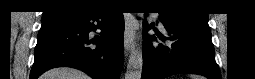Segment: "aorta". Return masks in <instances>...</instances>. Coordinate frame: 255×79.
Returning a JSON list of instances; mask_svg holds the SVG:
<instances>
[{
  "mask_svg": "<svg viewBox=\"0 0 255 79\" xmlns=\"http://www.w3.org/2000/svg\"><path fill=\"white\" fill-rule=\"evenodd\" d=\"M143 67L142 51L138 48L132 51L125 73V79H141Z\"/></svg>",
  "mask_w": 255,
  "mask_h": 79,
  "instance_id": "obj_1",
  "label": "aorta"
}]
</instances>
